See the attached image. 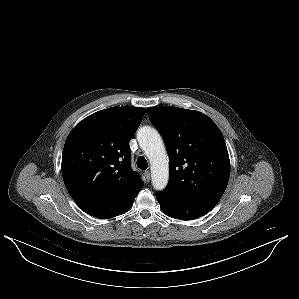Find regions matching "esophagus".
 <instances>
[{
    "mask_svg": "<svg viewBox=\"0 0 299 299\" xmlns=\"http://www.w3.org/2000/svg\"><path fill=\"white\" fill-rule=\"evenodd\" d=\"M144 176H145L146 180L149 181L150 178H151V173H150V171L146 170V171L144 172Z\"/></svg>",
    "mask_w": 299,
    "mask_h": 299,
    "instance_id": "34e87169",
    "label": "esophagus"
}]
</instances>
